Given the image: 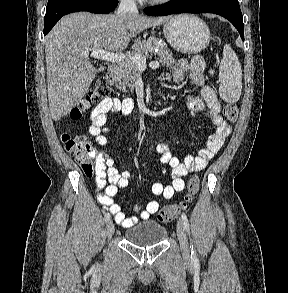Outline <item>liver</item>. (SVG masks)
I'll list each match as a JSON object with an SVG mask.
<instances>
[{
	"label": "liver",
	"mask_w": 288,
	"mask_h": 293,
	"mask_svg": "<svg viewBox=\"0 0 288 293\" xmlns=\"http://www.w3.org/2000/svg\"><path fill=\"white\" fill-rule=\"evenodd\" d=\"M169 18L145 17L131 12L121 15L78 12L60 19L45 38L52 119L60 120L78 105L95 79L98 71L82 53L122 51L138 33Z\"/></svg>",
	"instance_id": "1"
}]
</instances>
